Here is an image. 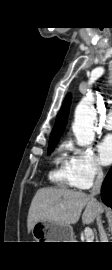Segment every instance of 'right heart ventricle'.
Returning <instances> with one entry per match:
<instances>
[{
	"label": "right heart ventricle",
	"mask_w": 112,
	"mask_h": 270,
	"mask_svg": "<svg viewBox=\"0 0 112 270\" xmlns=\"http://www.w3.org/2000/svg\"><path fill=\"white\" fill-rule=\"evenodd\" d=\"M49 177L59 186H73L68 167V159L64 154H58L54 158L53 169L51 170Z\"/></svg>",
	"instance_id": "1"
}]
</instances>
